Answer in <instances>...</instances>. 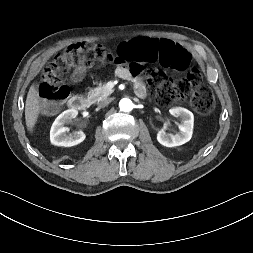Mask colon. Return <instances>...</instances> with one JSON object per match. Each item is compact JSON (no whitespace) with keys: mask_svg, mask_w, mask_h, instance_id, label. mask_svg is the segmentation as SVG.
Wrapping results in <instances>:
<instances>
[{"mask_svg":"<svg viewBox=\"0 0 253 253\" xmlns=\"http://www.w3.org/2000/svg\"><path fill=\"white\" fill-rule=\"evenodd\" d=\"M191 55L178 42L165 37H145L129 40L116 50L100 44L76 43L64 52L55 55L53 61L43 70L39 95L45 112H54L69 96L64 75L73 67H100L127 63L133 76H143L152 93L163 105L189 98L191 106L201 114H209L214 108L213 93L201 85L199 70L190 69L179 78H170L159 70H144L145 66L158 65L172 71L189 67Z\"/></svg>","mask_w":253,"mask_h":253,"instance_id":"obj_1","label":"colon"}]
</instances>
